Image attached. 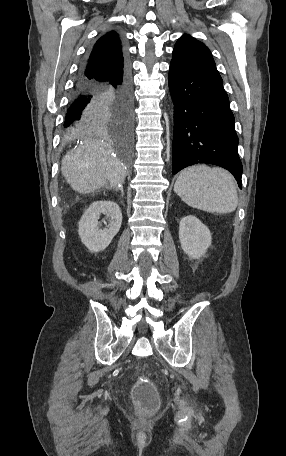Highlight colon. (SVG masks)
<instances>
[{
	"mask_svg": "<svg viewBox=\"0 0 286 456\" xmlns=\"http://www.w3.org/2000/svg\"><path fill=\"white\" fill-rule=\"evenodd\" d=\"M134 401L141 411L153 410L158 405L157 390L152 383L147 380H140L133 388Z\"/></svg>",
	"mask_w": 286,
	"mask_h": 456,
	"instance_id": "1",
	"label": "colon"
}]
</instances>
